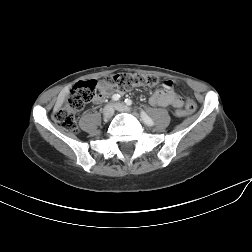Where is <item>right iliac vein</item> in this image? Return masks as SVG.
Returning <instances> with one entry per match:
<instances>
[{"label": "right iliac vein", "instance_id": "right-iliac-vein-1", "mask_svg": "<svg viewBox=\"0 0 252 252\" xmlns=\"http://www.w3.org/2000/svg\"><path fill=\"white\" fill-rule=\"evenodd\" d=\"M114 114V107L112 104L105 106L103 109V119L105 121L109 120Z\"/></svg>", "mask_w": 252, "mask_h": 252}]
</instances>
